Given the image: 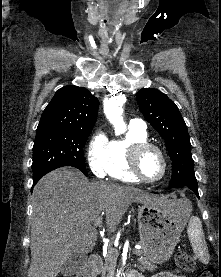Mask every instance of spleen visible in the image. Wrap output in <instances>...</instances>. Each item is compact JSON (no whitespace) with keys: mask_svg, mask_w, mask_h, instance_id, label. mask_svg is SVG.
<instances>
[{"mask_svg":"<svg viewBox=\"0 0 221 277\" xmlns=\"http://www.w3.org/2000/svg\"><path fill=\"white\" fill-rule=\"evenodd\" d=\"M183 202V201H181ZM191 212V209L189 210ZM187 234L192 245L193 252L198 259L206 264L209 262V254L201 221L198 217L189 220Z\"/></svg>","mask_w":221,"mask_h":277,"instance_id":"spleen-1","label":"spleen"}]
</instances>
